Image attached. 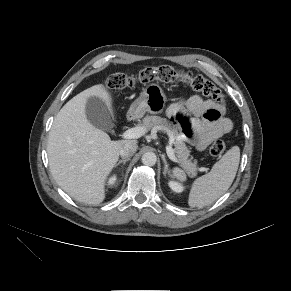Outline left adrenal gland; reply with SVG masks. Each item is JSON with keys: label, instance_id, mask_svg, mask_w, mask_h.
Instances as JSON below:
<instances>
[{"label": "left adrenal gland", "instance_id": "left-adrenal-gland-1", "mask_svg": "<svg viewBox=\"0 0 291 291\" xmlns=\"http://www.w3.org/2000/svg\"><path fill=\"white\" fill-rule=\"evenodd\" d=\"M162 160L164 162V171H163V174L166 176L167 173L168 174L170 173V170H169L168 163H167V161L165 159V155H162Z\"/></svg>", "mask_w": 291, "mask_h": 291}]
</instances>
